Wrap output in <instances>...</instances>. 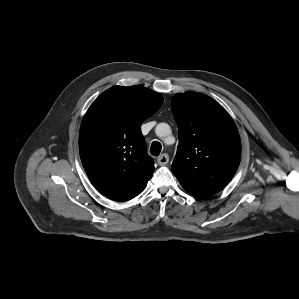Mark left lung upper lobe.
I'll return each mask as SVG.
<instances>
[{"label":"left lung upper lobe","instance_id":"obj_1","mask_svg":"<svg viewBox=\"0 0 299 299\" xmlns=\"http://www.w3.org/2000/svg\"><path fill=\"white\" fill-rule=\"evenodd\" d=\"M179 145L172 172L190 194L205 198L222 190L238 169L241 142L237 127L215 100L186 92L172 98Z\"/></svg>","mask_w":299,"mask_h":299}]
</instances>
